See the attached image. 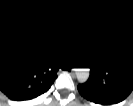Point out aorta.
Returning <instances> with one entry per match:
<instances>
[{
  "mask_svg": "<svg viewBox=\"0 0 133 106\" xmlns=\"http://www.w3.org/2000/svg\"><path fill=\"white\" fill-rule=\"evenodd\" d=\"M83 70H85V69H79V71H83Z\"/></svg>",
  "mask_w": 133,
  "mask_h": 106,
  "instance_id": "1",
  "label": "aorta"
}]
</instances>
